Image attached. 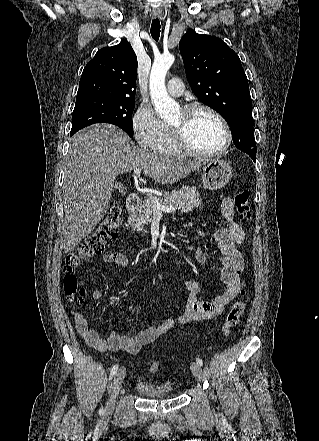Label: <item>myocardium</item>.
<instances>
[{"label": "myocardium", "mask_w": 319, "mask_h": 441, "mask_svg": "<svg viewBox=\"0 0 319 441\" xmlns=\"http://www.w3.org/2000/svg\"><path fill=\"white\" fill-rule=\"evenodd\" d=\"M207 112L213 115L223 126L225 131V143L224 145L213 152L198 151L191 146L187 139V127L192 117L198 112ZM182 119L180 123L176 125L169 124V129L172 134L174 144L179 152L184 155L196 157V158H213L223 154L231 145L232 132L227 120L214 108L204 104H190L181 109Z\"/></svg>", "instance_id": "f54148a6"}]
</instances>
